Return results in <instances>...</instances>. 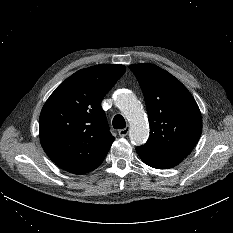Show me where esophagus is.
<instances>
[{
    "label": "esophagus",
    "instance_id": "esophagus-1",
    "mask_svg": "<svg viewBox=\"0 0 233 233\" xmlns=\"http://www.w3.org/2000/svg\"><path fill=\"white\" fill-rule=\"evenodd\" d=\"M128 132H129V127L126 126L125 128L120 129L118 133L120 137H125L128 134Z\"/></svg>",
    "mask_w": 233,
    "mask_h": 233
}]
</instances>
